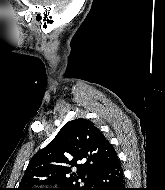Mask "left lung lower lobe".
<instances>
[{
	"label": "left lung lower lobe",
	"mask_w": 165,
	"mask_h": 190,
	"mask_svg": "<svg viewBox=\"0 0 165 190\" xmlns=\"http://www.w3.org/2000/svg\"><path fill=\"white\" fill-rule=\"evenodd\" d=\"M88 190H127L117 155L98 170Z\"/></svg>",
	"instance_id": "obj_1"
}]
</instances>
